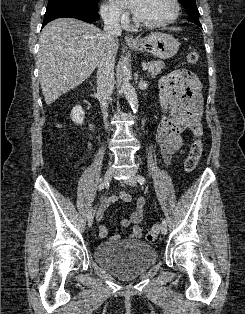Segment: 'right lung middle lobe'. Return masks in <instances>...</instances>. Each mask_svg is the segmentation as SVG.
I'll return each mask as SVG.
<instances>
[{
  "instance_id": "obj_1",
  "label": "right lung middle lobe",
  "mask_w": 245,
  "mask_h": 314,
  "mask_svg": "<svg viewBox=\"0 0 245 314\" xmlns=\"http://www.w3.org/2000/svg\"><path fill=\"white\" fill-rule=\"evenodd\" d=\"M56 6H76L90 10H98V0H48L47 8Z\"/></svg>"
}]
</instances>
